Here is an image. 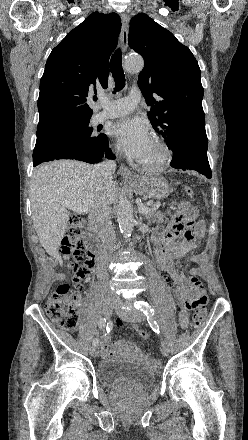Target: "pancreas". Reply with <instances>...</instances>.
<instances>
[{"mask_svg":"<svg viewBox=\"0 0 248 440\" xmlns=\"http://www.w3.org/2000/svg\"><path fill=\"white\" fill-rule=\"evenodd\" d=\"M143 217L148 221V223H163L168 221L167 218L164 219V215L162 213L156 212L153 208H151L148 213L143 214Z\"/></svg>","mask_w":248,"mask_h":440,"instance_id":"1","label":"pancreas"}]
</instances>
